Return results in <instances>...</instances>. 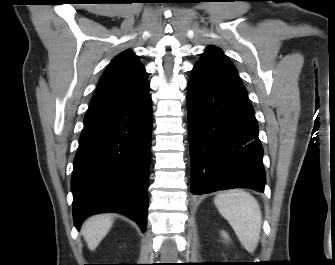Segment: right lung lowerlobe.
Masks as SVG:
<instances>
[{"label":"right lung lower lobe","mask_w":335,"mask_h":265,"mask_svg":"<svg viewBox=\"0 0 335 265\" xmlns=\"http://www.w3.org/2000/svg\"><path fill=\"white\" fill-rule=\"evenodd\" d=\"M149 93L119 106L90 109L71 180L74 224L119 212L146 230L152 110Z\"/></svg>","instance_id":"1"}]
</instances>
